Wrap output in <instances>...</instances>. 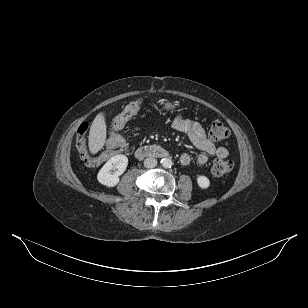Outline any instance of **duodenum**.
<instances>
[{"instance_id":"duodenum-1","label":"duodenum","mask_w":308,"mask_h":308,"mask_svg":"<svg viewBox=\"0 0 308 308\" xmlns=\"http://www.w3.org/2000/svg\"><path fill=\"white\" fill-rule=\"evenodd\" d=\"M135 156L138 159L146 157L164 158L169 156V152L160 146L151 145L138 148L135 152Z\"/></svg>"}]
</instances>
